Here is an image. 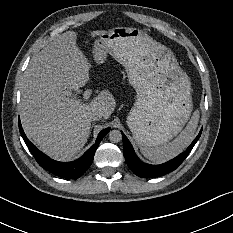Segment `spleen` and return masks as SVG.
I'll list each match as a JSON object with an SVG mask.
<instances>
[{"label":"spleen","instance_id":"obj_1","mask_svg":"<svg viewBox=\"0 0 233 233\" xmlns=\"http://www.w3.org/2000/svg\"><path fill=\"white\" fill-rule=\"evenodd\" d=\"M199 117V111H194L186 128L172 142L156 148H141V153L145 158L157 164L164 163L174 158L193 140Z\"/></svg>","mask_w":233,"mask_h":233}]
</instances>
